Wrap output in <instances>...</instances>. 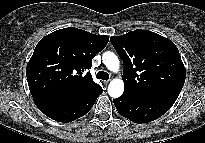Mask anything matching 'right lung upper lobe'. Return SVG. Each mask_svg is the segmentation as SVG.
Wrapping results in <instances>:
<instances>
[{
	"label": "right lung upper lobe",
	"instance_id": "obj_1",
	"mask_svg": "<svg viewBox=\"0 0 205 143\" xmlns=\"http://www.w3.org/2000/svg\"><path fill=\"white\" fill-rule=\"evenodd\" d=\"M109 37L74 27L42 38L26 68L34 100L70 102L99 87L90 72L94 56L105 48Z\"/></svg>",
	"mask_w": 205,
	"mask_h": 143
}]
</instances>
